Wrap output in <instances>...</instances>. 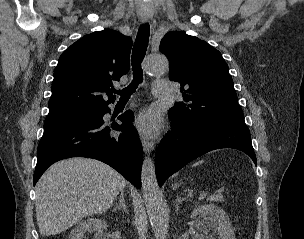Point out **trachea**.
Wrapping results in <instances>:
<instances>
[{
	"label": "trachea",
	"mask_w": 304,
	"mask_h": 239,
	"mask_svg": "<svg viewBox=\"0 0 304 239\" xmlns=\"http://www.w3.org/2000/svg\"><path fill=\"white\" fill-rule=\"evenodd\" d=\"M150 26L148 23L141 25L134 43L132 51V70L133 80L128 87L123 90H113L114 93L120 95V100H128L135 92L138 85L143 81V73L141 63L145 57L149 42Z\"/></svg>",
	"instance_id": "obj_1"
}]
</instances>
